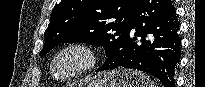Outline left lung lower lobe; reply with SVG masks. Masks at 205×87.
Wrapping results in <instances>:
<instances>
[{
    "label": "left lung lower lobe",
    "instance_id": "obj_1",
    "mask_svg": "<svg viewBox=\"0 0 205 87\" xmlns=\"http://www.w3.org/2000/svg\"><path fill=\"white\" fill-rule=\"evenodd\" d=\"M137 37H141L139 45ZM180 49L179 23L172 1L139 0L122 49L97 71L118 67L138 69L158 78L165 87H174Z\"/></svg>",
    "mask_w": 205,
    "mask_h": 87
}]
</instances>
